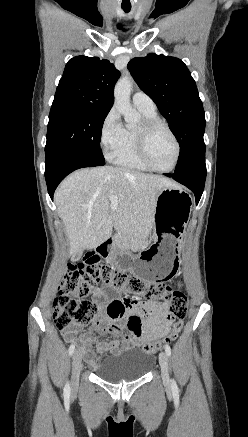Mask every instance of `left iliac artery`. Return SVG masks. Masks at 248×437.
<instances>
[{"instance_id": "44dca946", "label": "left iliac artery", "mask_w": 248, "mask_h": 437, "mask_svg": "<svg viewBox=\"0 0 248 437\" xmlns=\"http://www.w3.org/2000/svg\"><path fill=\"white\" fill-rule=\"evenodd\" d=\"M165 352H166V354L168 356H171V348H170V346L168 344L165 345ZM171 387H172L173 391H177L178 390L177 384H176V382L174 380H172Z\"/></svg>"}]
</instances>
